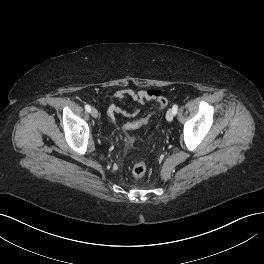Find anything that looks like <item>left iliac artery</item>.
Returning a JSON list of instances; mask_svg holds the SVG:
<instances>
[{
    "label": "left iliac artery",
    "instance_id": "1",
    "mask_svg": "<svg viewBox=\"0 0 264 264\" xmlns=\"http://www.w3.org/2000/svg\"><path fill=\"white\" fill-rule=\"evenodd\" d=\"M172 111H173V113H174V115L177 113V111H178V105H174L173 107H172Z\"/></svg>",
    "mask_w": 264,
    "mask_h": 264
}]
</instances>
